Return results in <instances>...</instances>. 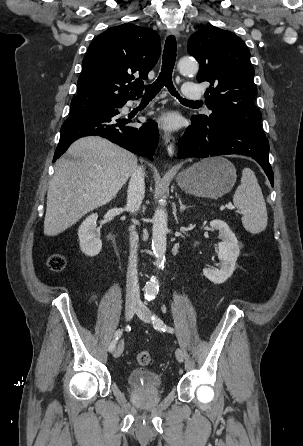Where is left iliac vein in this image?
<instances>
[{"instance_id":"left-iliac-vein-1","label":"left iliac vein","mask_w":303,"mask_h":446,"mask_svg":"<svg viewBox=\"0 0 303 446\" xmlns=\"http://www.w3.org/2000/svg\"><path fill=\"white\" fill-rule=\"evenodd\" d=\"M136 314L145 322L151 321V311L143 304L138 305ZM175 356L179 362L184 361L185 354L182 349L177 348L175 351Z\"/></svg>"}]
</instances>
